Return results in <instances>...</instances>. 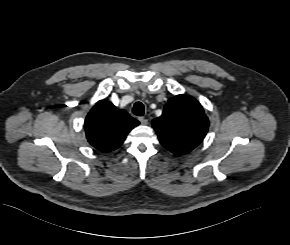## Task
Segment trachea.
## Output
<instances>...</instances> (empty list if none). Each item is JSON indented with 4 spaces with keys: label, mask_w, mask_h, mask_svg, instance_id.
<instances>
[{
    "label": "trachea",
    "mask_w": 290,
    "mask_h": 245,
    "mask_svg": "<svg viewBox=\"0 0 290 245\" xmlns=\"http://www.w3.org/2000/svg\"><path fill=\"white\" fill-rule=\"evenodd\" d=\"M133 113L137 116L144 115V105L141 102H136L133 106Z\"/></svg>",
    "instance_id": "obj_1"
}]
</instances>
